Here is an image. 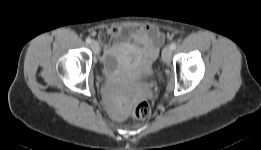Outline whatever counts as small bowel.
<instances>
[{
    "mask_svg": "<svg viewBox=\"0 0 261 150\" xmlns=\"http://www.w3.org/2000/svg\"><path fill=\"white\" fill-rule=\"evenodd\" d=\"M121 27H111L102 29L99 34V40L104 46H108L114 37H118L123 33ZM129 37L135 41L140 48L133 45L125 46L135 52L140 58L151 62L154 61L159 54L160 46L164 41V35L153 26H143L129 33Z\"/></svg>",
    "mask_w": 261,
    "mask_h": 150,
    "instance_id": "small-bowel-1",
    "label": "small bowel"
}]
</instances>
